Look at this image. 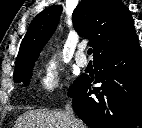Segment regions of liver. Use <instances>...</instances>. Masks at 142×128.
Listing matches in <instances>:
<instances>
[{"label": "liver", "mask_w": 142, "mask_h": 128, "mask_svg": "<svg viewBox=\"0 0 142 128\" xmlns=\"http://www.w3.org/2000/svg\"><path fill=\"white\" fill-rule=\"evenodd\" d=\"M74 126V127H73ZM14 128H87L79 119L72 123L64 111L29 110L19 116Z\"/></svg>", "instance_id": "obj_1"}]
</instances>
